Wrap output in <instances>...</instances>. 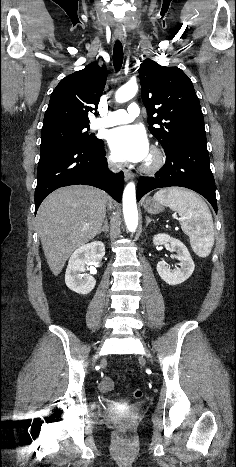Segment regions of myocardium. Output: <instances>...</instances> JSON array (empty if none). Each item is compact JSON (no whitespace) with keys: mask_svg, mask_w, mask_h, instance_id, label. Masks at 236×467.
<instances>
[{"mask_svg":"<svg viewBox=\"0 0 236 467\" xmlns=\"http://www.w3.org/2000/svg\"><path fill=\"white\" fill-rule=\"evenodd\" d=\"M165 163V154L159 147L154 146L148 158L146 159L142 169L146 173H155L162 168Z\"/></svg>","mask_w":236,"mask_h":467,"instance_id":"f54148a6","label":"myocardium"}]
</instances>
